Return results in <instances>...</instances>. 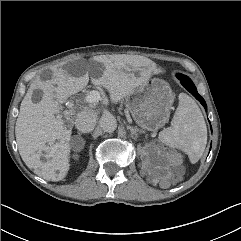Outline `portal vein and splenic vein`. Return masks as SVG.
I'll return each instance as SVG.
<instances>
[{"instance_id":"portal-vein-and-splenic-vein-1","label":"portal vein and splenic vein","mask_w":241,"mask_h":241,"mask_svg":"<svg viewBox=\"0 0 241 241\" xmlns=\"http://www.w3.org/2000/svg\"><path fill=\"white\" fill-rule=\"evenodd\" d=\"M100 94L98 91H91L89 94H87L85 100L88 103H97L100 100Z\"/></svg>"}]
</instances>
